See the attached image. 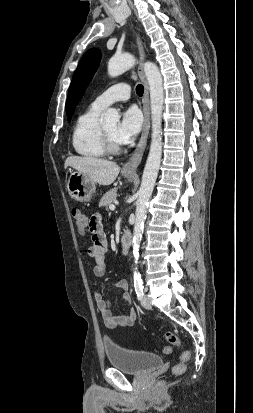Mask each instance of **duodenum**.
I'll return each instance as SVG.
<instances>
[{
	"instance_id": "410a0bca",
	"label": "duodenum",
	"mask_w": 253,
	"mask_h": 413,
	"mask_svg": "<svg viewBox=\"0 0 253 413\" xmlns=\"http://www.w3.org/2000/svg\"><path fill=\"white\" fill-rule=\"evenodd\" d=\"M132 243V235L130 231L126 230L121 237V246H122V252L124 255H127L129 253V249L131 247Z\"/></svg>"
}]
</instances>
